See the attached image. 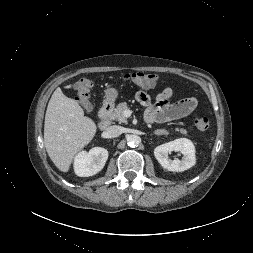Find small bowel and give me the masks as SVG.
Returning a JSON list of instances; mask_svg holds the SVG:
<instances>
[{
  "mask_svg": "<svg viewBox=\"0 0 253 253\" xmlns=\"http://www.w3.org/2000/svg\"><path fill=\"white\" fill-rule=\"evenodd\" d=\"M173 91L170 87H164L152 103L150 96L145 91L136 94L137 101L146 107L145 118L148 123H164L178 121L187 117L197 106L194 97L185 98L176 103H170Z\"/></svg>",
  "mask_w": 253,
  "mask_h": 253,
  "instance_id": "c3829d8e",
  "label": "small bowel"
}]
</instances>
